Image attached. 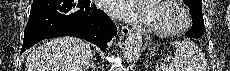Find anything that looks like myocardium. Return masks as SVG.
Returning <instances> with one entry per match:
<instances>
[{"mask_svg": "<svg viewBox=\"0 0 230 71\" xmlns=\"http://www.w3.org/2000/svg\"><path fill=\"white\" fill-rule=\"evenodd\" d=\"M156 2L175 10L180 16V22L175 26H161L151 24L148 27L149 31L157 35L173 36L180 34L188 29L191 23V17L188 10L184 6H182L178 1L173 0H158Z\"/></svg>", "mask_w": 230, "mask_h": 71, "instance_id": "f54148a6", "label": "myocardium"}]
</instances>
